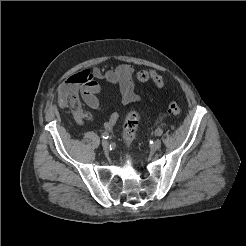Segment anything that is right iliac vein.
<instances>
[{
    "mask_svg": "<svg viewBox=\"0 0 246 246\" xmlns=\"http://www.w3.org/2000/svg\"><path fill=\"white\" fill-rule=\"evenodd\" d=\"M102 147L103 149L107 150L109 147V142L107 140H102Z\"/></svg>",
    "mask_w": 246,
    "mask_h": 246,
    "instance_id": "right-iliac-vein-1",
    "label": "right iliac vein"
}]
</instances>
